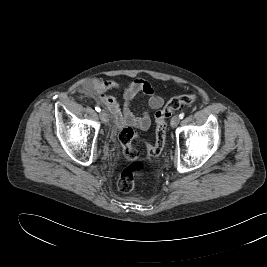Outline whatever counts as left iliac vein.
I'll use <instances>...</instances> for the list:
<instances>
[{"mask_svg": "<svg viewBox=\"0 0 267 267\" xmlns=\"http://www.w3.org/2000/svg\"><path fill=\"white\" fill-rule=\"evenodd\" d=\"M179 122H180V117L178 115L173 116L170 122L171 127L175 128L179 124Z\"/></svg>", "mask_w": 267, "mask_h": 267, "instance_id": "4c4485c4", "label": "left iliac vein"}]
</instances>
